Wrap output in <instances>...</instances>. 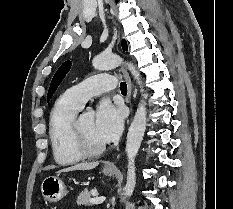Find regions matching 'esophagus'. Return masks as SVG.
<instances>
[{
  "label": "esophagus",
  "mask_w": 233,
  "mask_h": 209,
  "mask_svg": "<svg viewBox=\"0 0 233 209\" xmlns=\"http://www.w3.org/2000/svg\"><path fill=\"white\" fill-rule=\"evenodd\" d=\"M122 73L125 76L126 80H127V85H128V101L130 103L131 106V94H132V82H131V78L128 74V72L126 71V69L124 67H122ZM106 167L109 168H116V166L114 165V163H107Z\"/></svg>",
  "instance_id": "34e87169"
}]
</instances>
